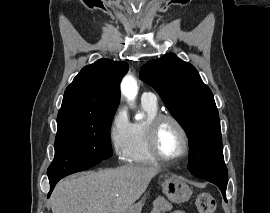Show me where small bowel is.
Instances as JSON below:
<instances>
[{
	"instance_id": "1",
	"label": "small bowel",
	"mask_w": 270,
	"mask_h": 213,
	"mask_svg": "<svg viewBox=\"0 0 270 213\" xmlns=\"http://www.w3.org/2000/svg\"><path fill=\"white\" fill-rule=\"evenodd\" d=\"M185 213L180 210H171L170 204L163 200H158L155 202L152 213Z\"/></svg>"
}]
</instances>
